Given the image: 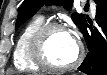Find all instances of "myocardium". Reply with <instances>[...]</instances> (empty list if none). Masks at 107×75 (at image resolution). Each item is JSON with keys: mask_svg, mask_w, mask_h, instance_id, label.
Here are the masks:
<instances>
[{"mask_svg": "<svg viewBox=\"0 0 107 75\" xmlns=\"http://www.w3.org/2000/svg\"><path fill=\"white\" fill-rule=\"evenodd\" d=\"M53 30L66 31V28L55 22L44 23L32 34L29 40V54L31 58L39 66L48 70L65 71L75 68L83 55V50L79 43H76L77 52L75 58L68 64L58 65L48 58L45 50V42L48 34Z\"/></svg>", "mask_w": 107, "mask_h": 75, "instance_id": "obj_1", "label": "myocardium"}]
</instances>
